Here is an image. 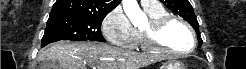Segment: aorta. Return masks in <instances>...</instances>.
Masks as SVG:
<instances>
[{"label": "aorta", "mask_w": 246, "mask_h": 69, "mask_svg": "<svg viewBox=\"0 0 246 69\" xmlns=\"http://www.w3.org/2000/svg\"><path fill=\"white\" fill-rule=\"evenodd\" d=\"M122 6L133 25H137L146 19V15L141 11L137 0H122Z\"/></svg>", "instance_id": "aorta-1"}]
</instances>
